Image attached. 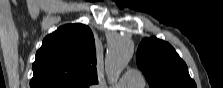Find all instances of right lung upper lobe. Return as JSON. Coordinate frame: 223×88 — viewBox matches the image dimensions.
<instances>
[{
  "label": "right lung upper lobe",
  "instance_id": "obj_1",
  "mask_svg": "<svg viewBox=\"0 0 223 88\" xmlns=\"http://www.w3.org/2000/svg\"><path fill=\"white\" fill-rule=\"evenodd\" d=\"M31 88H89L98 82L94 36L83 24H67L46 36L33 63Z\"/></svg>",
  "mask_w": 223,
  "mask_h": 88
}]
</instances>
